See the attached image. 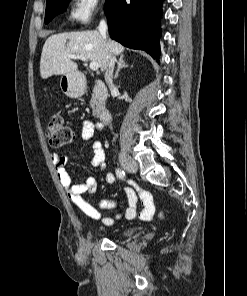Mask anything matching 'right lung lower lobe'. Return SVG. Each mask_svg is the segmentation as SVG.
I'll return each mask as SVG.
<instances>
[{
  "label": "right lung lower lobe",
  "instance_id": "right-lung-lower-lobe-1",
  "mask_svg": "<svg viewBox=\"0 0 247 296\" xmlns=\"http://www.w3.org/2000/svg\"><path fill=\"white\" fill-rule=\"evenodd\" d=\"M163 0H111L105 7L110 37L122 45L160 56Z\"/></svg>",
  "mask_w": 247,
  "mask_h": 296
}]
</instances>
